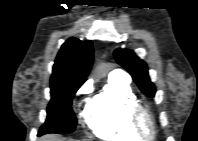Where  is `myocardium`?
<instances>
[{
    "label": "myocardium",
    "instance_id": "obj_1",
    "mask_svg": "<svg viewBox=\"0 0 198 141\" xmlns=\"http://www.w3.org/2000/svg\"><path fill=\"white\" fill-rule=\"evenodd\" d=\"M128 120L133 131L139 138L152 140L157 136L156 119L153 112L141 102L135 101L130 107L128 112ZM145 121L149 130L143 126Z\"/></svg>",
    "mask_w": 198,
    "mask_h": 141
}]
</instances>
